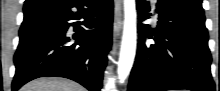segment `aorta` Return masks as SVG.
<instances>
[{"mask_svg":"<svg viewBox=\"0 0 220 91\" xmlns=\"http://www.w3.org/2000/svg\"><path fill=\"white\" fill-rule=\"evenodd\" d=\"M136 3L135 0H124V28L118 62L120 82L129 75L136 53Z\"/></svg>","mask_w":220,"mask_h":91,"instance_id":"1","label":"aorta"}]
</instances>
